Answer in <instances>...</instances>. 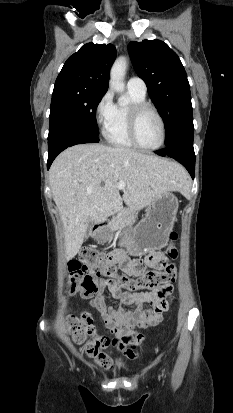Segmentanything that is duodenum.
I'll return each instance as SVG.
<instances>
[{"instance_id": "obj_1", "label": "duodenum", "mask_w": 233, "mask_h": 413, "mask_svg": "<svg viewBox=\"0 0 233 413\" xmlns=\"http://www.w3.org/2000/svg\"><path fill=\"white\" fill-rule=\"evenodd\" d=\"M107 224H108L107 221H102V222L96 224L93 228L94 232L99 231L101 228L105 227Z\"/></svg>"}]
</instances>
